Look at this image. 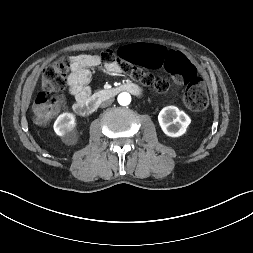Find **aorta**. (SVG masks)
Returning <instances> with one entry per match:
<instances>
[{
	"label": "aorta",
	"mask_w": 253,
	"mask_h": 253,
	"mask_svg": "<svg viewBox=\"0 0 253 253\" xmlns=\"http://www.w3.org/2000/svg\"><path fill=\"white\" fill-rule=\"evenodd\" d=\"M131 102V96L127 92L120 93L118 95V103L122 106L129 105Z\"/></svg>",
	"instance_id": "1"
}]
</instances>
